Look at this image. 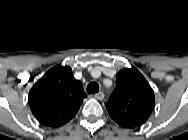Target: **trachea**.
<instances>
[{
    "label": "trachea",
    "mask_w": 188,
    "mask_h": 140,
    "mask_svg": "<svg viewBox=\"0 0 188 140\" xmlns=\"http://www.w3.org/2000/svg\"><path fill=\"white\" fill-rule=\"evenodd\" d=\"M99 91V85L95 82H91L87 86V92L89 94L97 93Z\"/></svg>",
    "instance_id": "trachea-1"
}]
</instances>
